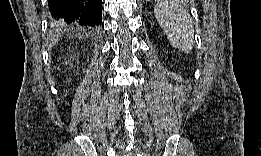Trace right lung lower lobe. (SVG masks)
<instances>
[{
  "mask_svg": "<svg viewBox=\"0 0 261 156\" xmlns=\"http://www.w3.org/2000/svg\"><path fill=\"white\" fill-rule=\"evenodd\" d=\"M54 27H89L102 22V0H49Z\"/></svg>",
  "mask_w": 261,
  "mask_h": 156,
  "instance_id": "obj_1",
  "label": "right lung lower lobe"
}]
</instances>
